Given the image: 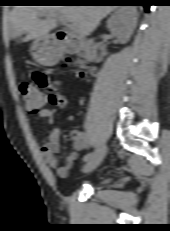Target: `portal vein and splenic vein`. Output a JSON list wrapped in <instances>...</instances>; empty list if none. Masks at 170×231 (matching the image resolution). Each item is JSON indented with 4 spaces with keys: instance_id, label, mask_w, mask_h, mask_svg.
Listing matches in <instances>:
<instances>
[{
    "instance_id": "obj_1",
    "label": "portal vein and splenic vein",
    "mask_w": 170,
    "mask_h": 231,
    "mask_svg": "<svg viewBox=\"0 0 170 231\" xmlns=\"http://www.w3.org/2000/svg\"><path fill=\"white\" fill-rule=\"evenodd\" d=\"M58 20L66 25L67 27H69L71 30H74V25L73 24H69L62 16H58Z\"/></svg>"
}]
</instances>
